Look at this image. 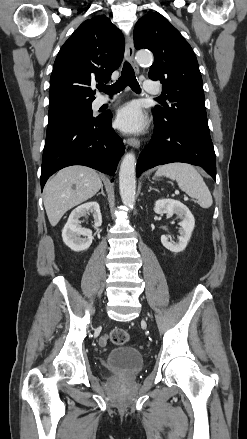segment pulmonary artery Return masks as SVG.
Returning a JSON list of instances; mask_svg holds the SVG:
<instances>
[{"label": "pulmonary artery", "instance_id": "obj_1", "mask_svg": "<svg viewBox=\"0 0 247 439\" xmlns=\"http://www.w3.org/2000/svg\"><path fill=\"white\" fill-rule=\"evenodd\" d=\"M144 90L149 94H158L160 91L159 85L153 80H146L144 82ZM111 101L109 98H103L99 101V104H105Z\"/></svg>", "mask_w": 247, "mask_h": 439}]
</instances>
